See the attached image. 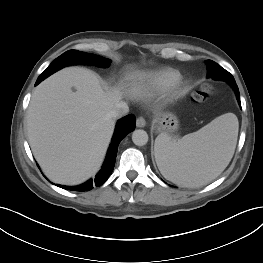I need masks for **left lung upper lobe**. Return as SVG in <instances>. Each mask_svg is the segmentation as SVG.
<instances>
[{
	"mask_svg": "<svg viewBox=\"0 0 263 263\" xmlns=\"http://www.w3.org/2000/svg\"><path fill=\"white\" fill-rule=\"evenodd\" d=\"M216 71V76L212 77L215 80H223V81H227V82H231V81H235L233 76L226 71L224 68H222L221 66L215 70ZM210 77V76H208Z\"/></svg>",
	"mask_w": 263,
	"mask_h": 263,
	"instance_id": "left-lung-upper-lobe-1",
	"label": "left lung upper lobe"
}]
</instances>
